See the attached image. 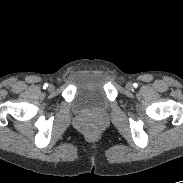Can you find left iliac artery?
<instances>
[{"label":"left iliac artery","mask_w":183,"mask_h":183,"mask_svg":"<svg viewBox=\"0 0 183 183\" xmlns=\"http://www.w3.org/2000/svg\"><path fill=\"white\" fill-rule=\"evenodd\" d=\"M133 86L136 88L138 86V84L137 83H134Z\"/></svg>","instance_id":"left-iliac-artery-1"}]
</instances>
